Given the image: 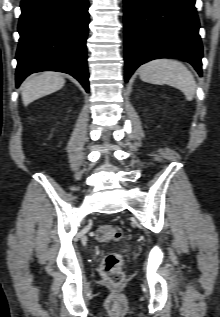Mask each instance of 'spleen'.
<instances>
[{
    "mask_svg": "<svg viewBox=\"0 0 220 317\" xmlns=\"http://www.w3.org/2000/svg\"><path fill=\"white\" fill-rule=\"evenodd\" d=\"M142 81L153 84H168L181 90L188 100L196 91V82L192 73L181 62L174 59H156L139 68Z\"/></svg>",
    "mask_w": 220,
    "mask_h": 317,
    "instance_id": "obj_1",
    "label": "spleen"
}]
</instances>
